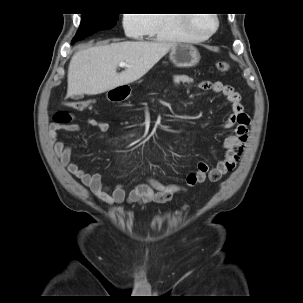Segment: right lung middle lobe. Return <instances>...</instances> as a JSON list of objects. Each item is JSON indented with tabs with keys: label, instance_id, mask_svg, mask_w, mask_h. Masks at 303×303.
I'll return each mask as SVG.
<instances>
[{
	"label": "right lung middle lobe",
	"instance_id": "right-lung-middle-lobe-1",
	"mask_svg": "<svg viewBox=\"0 0 303 303\" xmlns=\"http://www.w3.org/2000/svg\"><path fill=\"white\" fill-rule=\"evenodd\" d=\"M118 13L83 14L82 21L73 41L82 40L100 30L111 29L118 20Z\"/></svg>",
	"mask_w": 303,
	"mask_h": 303
}]
</instances>
